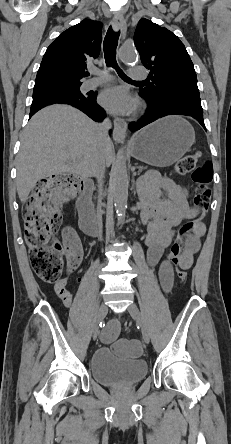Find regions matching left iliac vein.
<instances>
[{
	"instance_id": "left-iliac-vein-1",
	"label": "left iliac vein",
	"mask_w": 231,
	"mask_h": 444,
	"mask_svg": "<svg viewBox=\"0 0 231 444\" xmlns=\"http://www.w3.org/2000/svg\"><path fill=\"white\" fill-rule=\"evenodd\" d=\"M127 310L129 312L130 316L133 318V320L136 323H138L139 326L141 327L143 341L145 343H149V341H150L149 330H148V327L146 326V324L143 322V319L141 317L138 307L136 306V304L132 303L128 306Z\"/></svg>"
}]
</instances>
